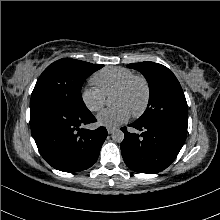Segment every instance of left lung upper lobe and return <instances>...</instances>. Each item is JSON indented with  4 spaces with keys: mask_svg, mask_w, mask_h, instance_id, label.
Here are the masks:
<instances>
[{
    "mask_svg": "<svg viewBox=\"0 0 220 220\" xmlns=\"http://www.w3.org/2000/svg\"><path fill=\"white\" fill-rule=\"evenodd\" d=\"M148 81V106L138 123L164 122L187 132L188 106L181 85L170 69L154 62L131 63Z\"/></svg>",
    "mask_w": 220,
    "mask_h": 220,
    "instance_id": "obj_1",
    "label": "left lung upper lobe"
}]
</instances>
